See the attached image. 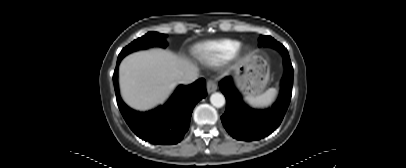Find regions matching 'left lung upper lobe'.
Here are the masks:
<instances>
[{
    "mask_svg": "<svg viewBox=\"0 0 406 168\" xmlns=\"http://www.w3.org/2000/svg\"><path fill=\"white\" fill-rule=\"evenodd\" d=\"M269 46V47H273L275 49H277L278 51L285 52L287 51L286 48L280 44L279 42H277L275 39H273L270 36H260L259 38V46Z\"/></svg>",
    "mask_w": 406,
    "mask_h": 168,
    "instance_id": "5c2ea615",
    "label": "left lung upper lobe"
}]
</instances>
